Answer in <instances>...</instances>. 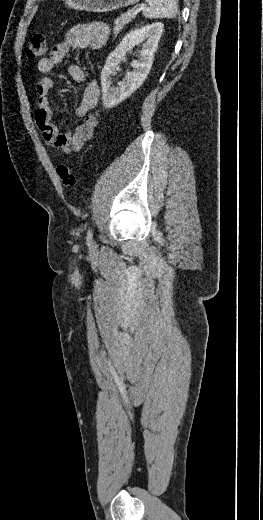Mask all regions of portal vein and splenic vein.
<instances>
[{
	"label": "portal vein and splenic vein",
	"mask_w": 263,
	"mask_h": 520,
	"mask_svg": "<svg viewBox=\"0 0 263 520\" xmlns=\"http://www.w3.org/2000/svg\"><path fill=\"white\" fill-rule=\"evenodd\" d=\"M146 8V5H141L139 6L138 8L134 9L131 11V14L132 15H136L137 13H139L141 10L145 9Z\"/></svg>",
	"instance_id": "18ae733b"
}]
</instances>
